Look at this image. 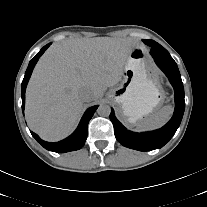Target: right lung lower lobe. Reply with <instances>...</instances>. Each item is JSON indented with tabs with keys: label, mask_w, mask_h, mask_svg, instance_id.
Instances as JSON below:
<instances>
[{
	"label": "right lung lower lobe",
	"mask_w": 207,
	"mask_h": 207,
	"mask_svg": "<svg viewBox=\"0 0 207 207\" xmlns=\"http://www.w3.org/2000/svg\"><path fill=\"white\" fill-rule=\"evenodd\" d=\"M51 43L47 44L44 46L38 53L37 55L30 61L28 68L26 70L23 82H22V110H24L25 106V90L26 86L28 83V80L31 76L32 70L37 63L38 59L40 56L45 52V50L50 46ZM98 106H92L86 110L84 113L77 129L71 134L68 138L55 142V143H50L43 141L39 138L37 134L34 132H31L32 136L47 150L57 152V153H64V152H69V151H74L78 150L83 147L85 144L86 138H87V128H88V122L93 116L94 112Z\"/></svg>",
	"instance_id": "obj_1"
}]
</instances>
